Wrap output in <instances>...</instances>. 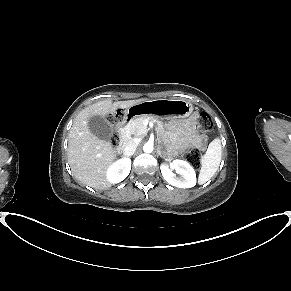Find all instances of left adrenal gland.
Wrapping results in <instances>:
<instances>
[{"instance_id": "a2214340", "label": "left adrenal gland", "mask_w": 291, "mask_h": 291, "mask_svg": "<svg viewBox=\"0 0 291 291\" xmlns=\"http://www.w3.org/2000/svg\"><path fill=\"white\" fill-rule=\"evenodd\" d=\"M158 154L160 155V157H163V155L161 154V151H160V149H158Z\"/></svg>"}]
</instances>
